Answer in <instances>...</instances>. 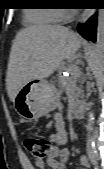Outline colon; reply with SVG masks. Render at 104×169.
<instances>
[{"label": "colon", "mask_w": 104, "mask_h": 169, "mask_svg": "<svg viewBox=\"0 0 104 169\" xmlns=\"http://www.w3.org/2000/svg\"><path fill=\"white\" fill-rule=\"evenodd\" d=\"M26 151L38 162H42L52 149L51 140L42 136L27 135L23 141Z\"/></svg>", "instance_id": "1"}]
</instances>
